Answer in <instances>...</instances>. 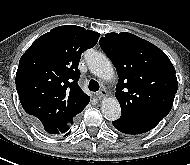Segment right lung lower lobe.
Wrapping results in <instances>:
<instances>
[{
    "label": "right lung lower lobe",
    "instance_id": "right-lung-lower-lobe-1",
    "mask_svg": "<svg viewBox=\"0 0 190 165\" xmlns=\"http://www.w3.org/2000/svg\"><path fill=\"white\" fill-rule=\"evenodd\" d=\"M33 123L36 124L37 126H39V123L35 120V119H32Z\"/></svg>",
    "mask_w": 190,
    "mask_h": 165
}]
</instances>
